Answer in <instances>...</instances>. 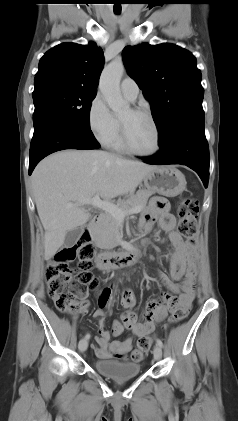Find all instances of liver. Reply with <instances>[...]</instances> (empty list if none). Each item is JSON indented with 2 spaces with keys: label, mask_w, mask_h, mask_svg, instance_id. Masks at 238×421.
Segmentation results:
<instances>
[{
  "label": "liver",
  "mask_w": 238,
  "mask_h": 421,
  "mask_svg": "<svg viewBox=\"0 0 238 421\" xmlns=\"http://www.w3.org/2000/svg\"><path fill=\"white\" fill-rule=\"evenodd\" d=\"M154 168L102 150H64L42 160L32 174V187L45 230V260L63 245L67 232L90 217L84 208H69L68 203L133 192Z\"/></svg>",
  "instance_id": "obj_1"
}]
</instances>
